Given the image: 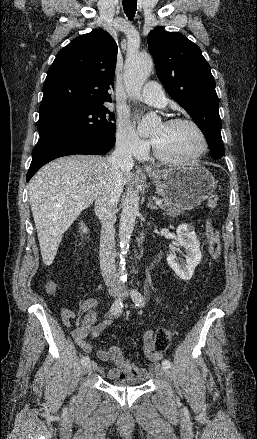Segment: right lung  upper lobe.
Masks as SVG:
<instances>
[{
  "label": "right lung upper lobe",
  "instance_id": "obj_1",
  "mask_svg": "<svg viewBox=\"0 0 257 439\" xmlns=\"http://www.w3.org/2000/svg\"><path fill=\"white\" fill-rule=\"evenodd\" d=\"M116 59V42L106 31L93 30L72 40L47 72L39 119L111 102Z\"/></svg>",
  "mask_w": 257,
  "mask_h": 439
}]
</instances>
